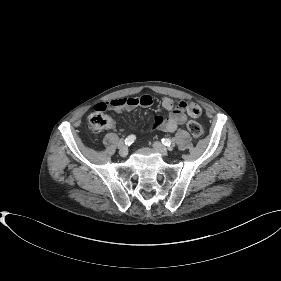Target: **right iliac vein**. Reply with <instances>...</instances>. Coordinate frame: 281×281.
<instances>
[{
	"label": "right iliac vein",
	"mask_w": 281,
	"mask_h": 281,
	"mask_svg": "<svg viewBox=\"0 0 281 281\" xmlns=\"http://www.w3.org/2000/svg\"><path fill=\"white\" fill-rule=\"evenodd\" d=\"M119 154L122 157L127 156V154H128V147L125 146V145L121 146L120 149H119Z\"/></svg>",
	"instance_id": "right-iliac-vein-1"
}]
</instances>
